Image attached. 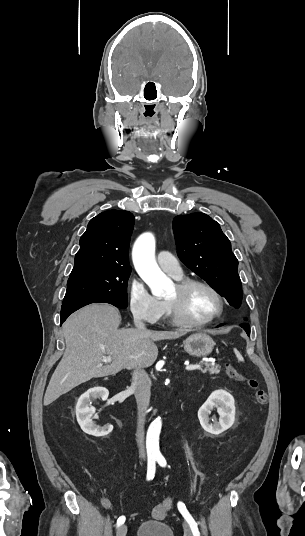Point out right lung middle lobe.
Instances as JSON below:
<instances>
[{
	"mask_svg": "<svg viewBox=\"0 0 305 536\" xmlns=\"http://www.w3.org/2000/svg\"><path fill=\"white\" fill-rule=\"evenodd\" d=\"M131 271L97 272L69 277L63 305L106 302L126 308Z\"/></svg>",
	"mask_w": 305,
	"mask_h": 536,
	"instance_id": "right-lung-middle-lobe-1",
	"label": "right lung middle lobe"
}]
</instances>
